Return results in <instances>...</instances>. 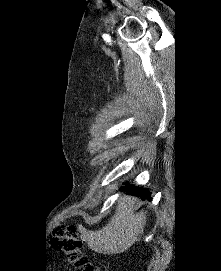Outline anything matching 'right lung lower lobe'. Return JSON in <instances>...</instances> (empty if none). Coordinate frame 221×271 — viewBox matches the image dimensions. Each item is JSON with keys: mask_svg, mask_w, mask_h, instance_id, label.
<instances>
[{"mask_svg": "<svg viewBox=\"0 0 221 271\" xmlns=\"http://www.w3.org/2000/svg\"><path fill=\"white\" fill-rule=\"evenodd\" d=\"M123 191H126L127 194H131L130 192H133L136 196H140L142 198H147L148 200H151V193L146 190V189H141L138 187H133V186H126L124 187Z\"/></svg>", "mask_w": 221, "mask_h": 271, "instance_id": "obj_1", "label": "right lung lower lobe"}]
</instances>
